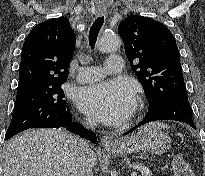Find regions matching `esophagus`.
<instances>
[{
    "mask_svg": "<svg viewBox=\"0 0 205 176\" xmlns=\"http://www.w3.org/2000/svg\"><path fill=\"white\" fill-rule=\"evenodd\" d=\"M106 12L105 8H101L98 10L99 15H103ZM101 145L104 148H110V147H115L117 145L116 140L113 138V136H104L101 139Z\"/></svg>",
    "mask_w": 205,
    "mask_h": 176,
    "instance_id": "34e87169",
    "label": "esophagus"
}]
</instances>
